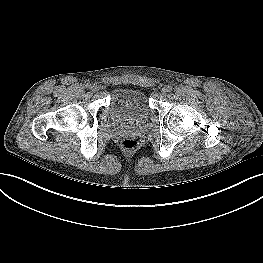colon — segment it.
I'll list each match as a JSON object with an SVG mask.
<instances>
[{"label":"colon","instance_id":"5ec220e1","mask_svg":"<svg viewBox=\"0 0 263 263\" xmlns=\"http://www.w3.org/2000/svg\"><path fill=\"white\" fill-rule=\"evenodd\" d=\"M122 146L127 149V150H133L136 148L137 146V142L133 139H125L123 142H122Z\"/></svg>","mask_w":263,"mask_h":263}]
</instances>
